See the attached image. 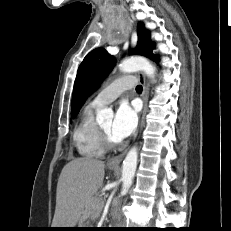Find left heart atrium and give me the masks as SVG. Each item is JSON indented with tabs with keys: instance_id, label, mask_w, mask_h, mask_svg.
<instances>
[{
	"instance_id": "left-heart-atrium-1",
	"label": "left heart atrium",
	"mask_w": 231,
	"mask_h": 231,
	"mask_svg": "<svg viewBox=\"0 0 231 231\" xmlns=\"http://www.w3.org/2000/svg\"><path fill=\"white\" fill-rule=\"evenodd\" d=\"M137 126V113L123 102L119 105L112 124L111 134L115 141L119 142L130 136Z\"/></svg>"
}]
</instances>
